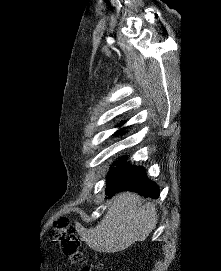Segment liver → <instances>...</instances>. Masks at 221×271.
I'll return each instance as SVG.
<instances>
[{
    "label": "liver",
    "mask_w": 221,
    "mask_h": 271,
    "mask_svg": "<svg viewBox=\"0 0 221 271\" xmlns=\"http://www.w3.org/2000/svg\"><path fill=\"white\" fill-rule=\"evenodd\" d=\"M140 195L122 191L114 195L104 217L95 227L78 229L82 241L95 251H122L135 241H144L157 223L153 201L140 203Z\"/></svg>",
    "instance_id": "liver-1"
}]
</instances>
